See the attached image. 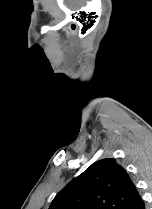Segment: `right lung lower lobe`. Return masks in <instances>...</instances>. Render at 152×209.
Returning a JSON list of instances; mask_svg holds the SVG:
<instances>
[{"label":"right lung lower lobe","instance_id":"1","mask_svg":"<svg viewBox=\"0 0 152 209\" xmlns=\"http://www.w3.org/2000/svg\"><path fill=\"white\" fill-rule=\"evenodd\" d=\"M124 209H145L144 201L138 192Z\"/></svg>","mask_w":152,"mask_h":209}]
</instances>
